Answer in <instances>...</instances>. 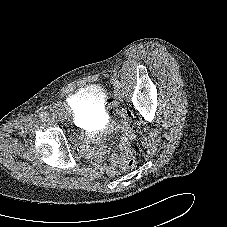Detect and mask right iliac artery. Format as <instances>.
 Returning <instances> with one entry per match:
<instances>
[{"label":"right iliac artery","mask_w":227,"mask_h":227,"mask_svg":"<svg viewBox=\"0 0 227 227\" xmlns=\"http://www.w3.org/2000/svg\"><path fill=\"white\" fill-rule=\"evenodd\" d=\"M39 116L46 118L47 117V114L42 112V113L39 114Z\"/></svg>","instance_id":"obj_1"}]
</instances>
